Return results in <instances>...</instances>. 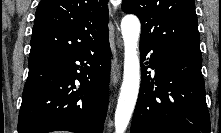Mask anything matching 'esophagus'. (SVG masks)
<instances>
[{"label":"esophagus","instance_id":"34e87169","mask_svg":"<svg viewBox=\"0 0 221 133\" xmlns=\"http://www.w3.org/2000/svg\"><path fill=\"white\" fill-rule=\"evenodd\" d=\"M116 46L118 49L122 48L121 40H116ZM120 78V64L118 59L114 56L112 61V68H111V83L115 85Z\"/></svg>","mask_w":221,"mask_h":133}]
</instances>
